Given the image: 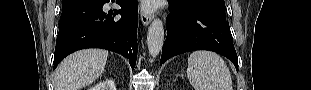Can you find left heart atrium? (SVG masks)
I'll return each instance as SVG.
<instances>
[{
	"instance_id": "obj_1",
	"label": "left heart atrium",
	"mask_w": 311,
	"mask_h": 90,
	"mask_svg": "<svg viewBox=\"0 0 311 90\" xmlns=\"http://www.w3.org/2000/svg\"><path fill=\"white\" fill-rule=\"evenodd\" d=\"M145 10L152 12L155 8V5L152 1H146V4L144 5Z\"/></svg>"
}]
</instances>
